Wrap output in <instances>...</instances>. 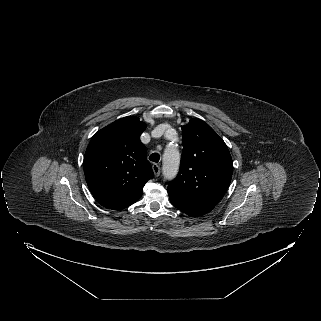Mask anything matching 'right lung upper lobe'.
Segmentation results:
<instances>
[{
    "label": "right lung upper lobe",
    "instance_id": "right-lung-upper-lobe-1",
    "mask_svg": "<svg viewBox=\"0 0 321 321\" xmlns=\"http://www.w3.org/2000/svg\"><path fill=\"white\" fill-rule=\"evenodd\" d=\"M145 129L144 122L128 116L92 137L84 156V173L89 190L102 206L118 210L132 205L154 177L140 141Z\"/></svg>",
    "mask_w": 321,
    "mask_h": 321
}]
</instances>
